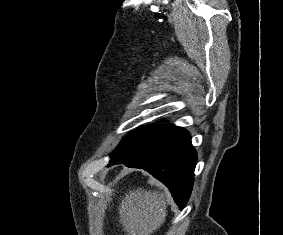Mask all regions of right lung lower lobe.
Returning <instances> with one entry per match:
<instances>
[{"label":"right lung lower lobe","instance_id":"98d812e1","mask_svg":"<svg viewBox=\"0 0 283 235\" xmlns=\"http://www.w3.org/2000/svg\"><path fill=\"white\" fill-rule=\"evenodd\" d=\"M197 162L190 134L176 127L165 138L146 152L123 162L128 167L141 168L164 183L172 193L176 204L182 209L190 196L194 169Z\"/></svg>","mask_w":283,"mask_h":235}]
</instances>
